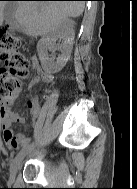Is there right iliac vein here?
<instances>
[{
    "label": "right iliac vein",
    "instance_id": "1",
    "mask_svg": "<svg viewBox=\"0 0 137 189\" xmlns=\"http://www.w3.org/2000/svg\"><path fill=\"white\" fill-rule=\"evenodd\" d=\"M34 145H30L27 148L20 151L16 157L13 160V163L10 168V180L14 181L16 178V175L21 167V163L24 159V157L34 148Z\"/></svg>",
    "mask_w": 137,
    "mask_h": 189
}]
</instances>
